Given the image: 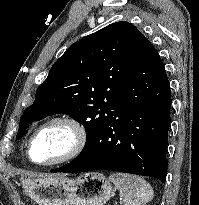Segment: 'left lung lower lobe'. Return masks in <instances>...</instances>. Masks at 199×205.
Masks as SVG:
<instances>
[{
    "label": "left lung lower lobe",
    "mask_w": 199,
    "mask_h": 205,
    "mask_svg": "<svg viewBox=\"0 0 199 205\" xmlns=\"http://www.w3.org/2000/svg\"><path fill=\"white\" fill-rule=\"evenodd\" d=\"M171 102L163 62L145 37L91 147L74 164L51 172L113 170L165 182Z\"/></svg>",
    "instance_id": "1"
}]
</instances>
